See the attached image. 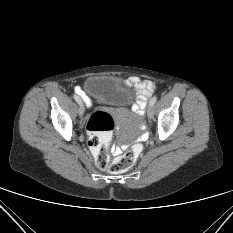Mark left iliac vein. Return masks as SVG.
Masks as SVG:
<instances>
[{
    "instance_id": "obj_1",
    "label": "left iliac vein",
    "mask_w": 233,
    "mask_h": 233,
    "mask_svg": "<svg viewBox=\"0 0 233 233\" xmlns=\"http://www.w3.org/2000/svg\"><path fill=\"white\" fill-rule=\"evenodd\" d=\"M147 116L150 119L153 117V106L148 105V107H147Z\"/></svg>"
}]
</instances>
